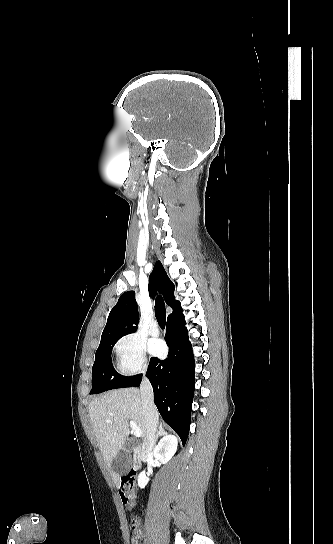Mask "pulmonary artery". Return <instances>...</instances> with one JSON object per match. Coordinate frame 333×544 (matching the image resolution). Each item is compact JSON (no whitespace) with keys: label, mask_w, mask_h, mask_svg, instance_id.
<instances>
[{"label":"pulmonary artery","mask_w":333,"mask_h":544,"mask_svg":"<svg viewBox=\"0 0 333 544\" xmlns=\"http://www.w3.org/2000/svg\"><path fill=\"white\" fill-rule=\"evenodd\" d=\"M160 333L159 324L157 321L153 320L150 324V334L154 337L158 336Z\"/></svg>","instance_id":"e3ab8cb5"}]
</instances>
